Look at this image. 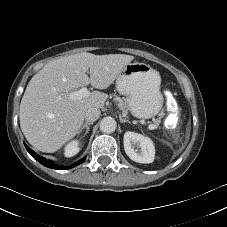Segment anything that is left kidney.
<instances>
[{
	"mask_svg": "<svg viewBox=\"0 0 227 227\" xmlns=\"http://www.w3.org/2000/svg\"><path fill=\"white\" fill-rule=\"evenodd\" d=\"M140 148V150L135 149ZM124 150L135 162L152 163L155 157V147L152 140L141 134L127 131L124 134Z\"/></svg>",
	"mask_w": 227,
	"mask_h": 227,
	"instance_id": "5707ae66",
	"label": "left kidney"
}]
</instances>
